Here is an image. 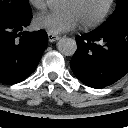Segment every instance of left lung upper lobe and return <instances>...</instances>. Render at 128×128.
Masks as SVG:
<instances>
[{"instance_id":"1","label":"left lung upper lobe","mask_w":128,"mask_h":128,"mask_svg":"<svg viewBox=\"0 0 128 128\" xmlns=\"http://www.w3.org/2000/svg\"><path fill=\"white\" fill-rule=\"evenodd\" d=\"M128 21V0H117V7L113 14L97 29L103 30L108 27Z\"/></svg>"}]
</instances>
